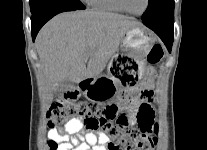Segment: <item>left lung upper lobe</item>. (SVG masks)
Instances as JSON below:
<instances>
[{
  "label": "left lung upper lobe",
  "mask_w": 207,
  "mask_h": 150,
  "mask_svg": "<svg viewBox=\"0 0 207 150\" xmlns=\"http://www.w3.org/2000/svg\"><path fill=\"white\" fill-rule=\"evenodd\" d=\"M174 11V0H149L148 8L142 15V20L162 17Z\"/></svg>",
  "instance_id": "obj_1"
}]
</instances>
